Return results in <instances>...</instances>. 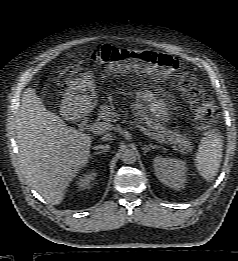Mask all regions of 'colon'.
<instances>
[{
  "label": "colon",
  "mask_w": 238,
  "mask_h": 261,
  "mask_svg": "<svg viewBox=\"0 0 238 261\" xmlns=\"http://www.w3.org/2000/svg\"><path fill=\"white\" fill-rule=\"evenodd\" d=\"M91 58L117 72L149 74L156 79L173 77L191 104L200 128H209L217 119V108L199 80L170 55L146 49L103 45L92 52Z\"/></svg>",
  "instance_id": "1"
}]
</instances>
